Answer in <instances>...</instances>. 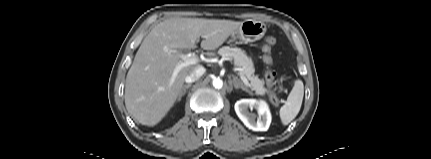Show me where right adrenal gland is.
Wrapping results in <instances>:
<instances>
[{
  "label": "right adrenal gland",
  "mask_w": 431,
  "mask_h": 159,
  "mask_svg": "<svg viewBox=\"0 0 431 159\" xmlns=\"http://www.w3.org/2000/svg\"><path fill=\"white\" fill-rule=\"evenodd\" d=\"M190 87H191V84H187V85H184V86L182 87V90H181V92H180V94H179V97H178V101H180V100H181L182 96L186 93V90H187L188 88H190Z\"/></svg>",
  "instance_id": "right-adrenal-gland-1"
}]
</instances>
